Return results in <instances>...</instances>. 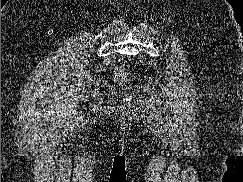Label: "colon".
<instances>
[{"instance_id":"5ec220e1","label":"colon","mask_w":243,"mask_h":182,"mask_svg":"<svg viewBox=\"0 0 243 182\" xmlns=\"http://www.w3.org/2000/svg\"><path fill=\"white\" fill-rule=\"evenodd\" d=\"M114 80L121 85L125 84V74L122 69L115 70Z\"/></svg>"}]
</instances>
